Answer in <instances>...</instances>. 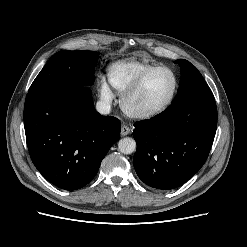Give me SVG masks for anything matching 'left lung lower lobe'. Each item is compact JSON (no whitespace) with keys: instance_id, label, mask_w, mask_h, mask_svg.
<instances>
[{"instance_id":"left-lung-lower-lobe-1","label":"left lung lower lobe","mask_w":247,"mask_h":247,"mask_svg":"<svg viewBox=\"0 0 247 247\" xmlns=\"http://www.w3.org/2000/svg\"><path fill=\"white\" fill-rule=\"evenodd\" d=\"M134 126L138 177L153 188L175 189L192 178L209 155L217 127L214 96H186Z\"/></svg>"}]
</instances>
